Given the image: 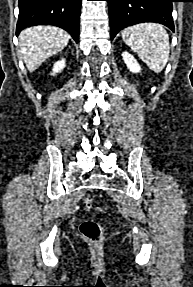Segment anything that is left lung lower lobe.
<instances>
[{
    "label": "left lung lower lobe",
    "mask_w": 193,
    "mask_h": 287,
    "mask_svg": "<svg viewBox=\"0 0 193 287\" xmlns=\"http://www.w3.org/2000/svg\"><path fill=\"white\" fill-rule=\"evenodd\" d=\"M113 39L127 26L143 22L163 24L174 31L172 2L175 0H106Z\"/></svg>",
    "instance_id": "0a47b994"
}]
</instances>
